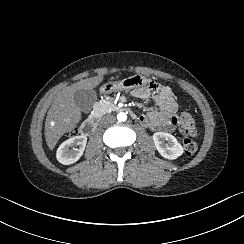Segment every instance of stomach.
Masks as SVG:
<instances>
[{"label": "stomach", "mask_w": 244, "mask_h": 244, "mask_svg": "<svg viewBox=\"0 0 244 244\" xmlns=\"http://www.w3.org/2000/svg\"><path fill=\"white\" fill-rule=\"evenodd\" d=\"M150 79L135 75L122 81L108 82L100 88V92L108 94L115 91L132 89L141 85H149Z\"/></svg>", "instance_id": "stomach-1"}]
</instances>
